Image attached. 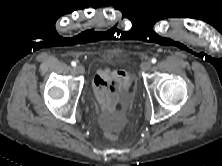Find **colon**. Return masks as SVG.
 <instances>
[{
    "label": "colon",
    "instance_id": "5ec220e1",
    "mask_svg": "<svg viewBox=\"0 0 222 166\" xmlns=\"http://www.w3.org/2000/svg\"><path fill=\"white\" fill-rule=\"evenodd\" d=\"M107 137L111 140H115L117 138V135L112 132H107Z\"/></svg>",
    "mask_w": 222,
    "mask_h": 166
}]
</instances>
